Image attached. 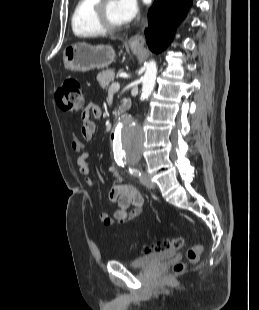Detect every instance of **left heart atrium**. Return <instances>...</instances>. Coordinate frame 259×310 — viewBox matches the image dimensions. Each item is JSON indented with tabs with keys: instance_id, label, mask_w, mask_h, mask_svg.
<instances>
[{
	"instance_id": "39dd6f15",
	"label": "left heart atrium",
	"mask_w": 259,
	"mask_h": 310,
	"mask_svg": "<svg viewBox=\"0 0 259 310\" xmlns=\"http://www.w3.org/2000/svg\"><path fill=\"white\" fill-rule=\"evenodd\" d=\"M118 12L123 23L132 21L138 13L137 0H118Z\"/></svg>"
}]
</instances>
